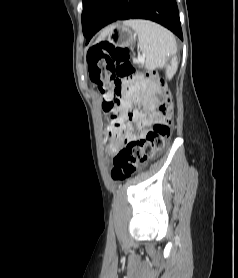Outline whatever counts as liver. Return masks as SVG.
Here are the masks:
<instances>
[{"label": "liver", "mask_w": 238, "mask_h": 278, "mask_svg": "<svg viewBox=\"0 0 238 278\" xmlns=\"http://www.w3.org/2000/svg\"><path fill=\"white\" fill-rule=\"evenodd\" d=\"M103 37H105V31L101 34V36H100L99 39H101V38H103Z\"/></svg>", "instance_id": "1"}]
</instances>
